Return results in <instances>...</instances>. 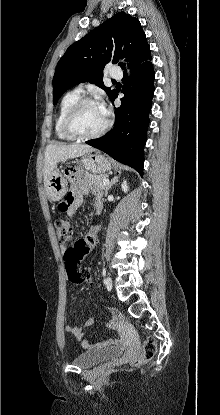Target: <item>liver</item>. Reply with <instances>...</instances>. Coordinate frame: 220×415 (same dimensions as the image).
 <instances>
[{"label": "liver", "instance_id": "obj_1", "mask_svg": "<svg viewBox=\"0 0 220 415\" xmlns=\"http://www.w3.org/2000/svg\"><path fill=\"white\" fill-rule=\"evenodd\" d=\"M95 149L85 144H50L46 147L44 158V185L48 181L49 175L53 172L57 163L60 161L80 157L87 153H91Z\"/></svg>", "mask_w": 220, "mask_h": 415}]
</instances>
